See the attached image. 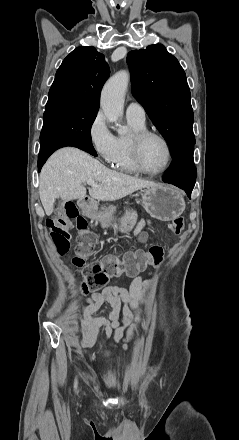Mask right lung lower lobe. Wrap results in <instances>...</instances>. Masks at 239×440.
Returning <instances> with one entry per match:
<instances>
[{
    "label": "right lung lower lobe",
    "mask_w": 239,
    "mask_h": 440,
    "mask_svg": "<svg viewBox=\"0 0 239 440\" xmlns=\"http://www.w3.org/2000/svg\"><path fill=\"white\" fill-rule=\"evenodd\" d=\"M65 146H74L82 149L93 156H97L96 151L92 145V142L83 137L70 136L54 140L48 143L46 146L40 148V154L38 159V170L40 171L43 164L48 157L57 149Z\"/></svg>",
    "instance_id": "1"
}]
</instances>
